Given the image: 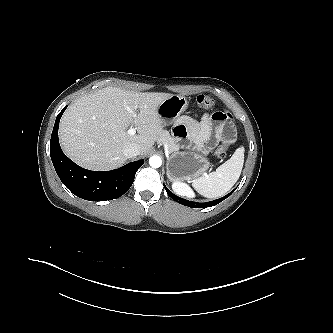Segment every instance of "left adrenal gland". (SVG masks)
Returning <instances> with one entry per match:
<instances>
[{
    "mask_svg": "<svg viewBox=\"0 0 333 333\" xmlns=\"http://www.w3.org/2000/svg\"><path fill=\"white\" fill-rule=\"evenodd\" d=\"M167 176H168V178L171 180V177H170V175L167 173Z\"/></svg>",
    "mask_w": 333,
    "mask_h": 333,
    "instance_id": "a2214340",
    "label": "left adrenal gland"
}]
</instances>
